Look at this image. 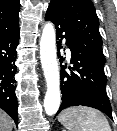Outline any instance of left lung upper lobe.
I'll use <instances>...</instances> for the list:
<instances>
[{
    "instance_id": "5c2ea615",
    "label": "left lung upper lobe",
    "mask_w": 117,
    "mask_h": 131,
    "mask_svg": "<svg viewBox=\"0 0 117 131\" xmlns=\"http://www.w3.org/2000/svg\"><path fill=\"white\" fill-rule=\"evenodd\" d=\"M47 11L60 16L71 30L75 42L98 62L105 64L99 20L91 0H51Z\"/></svg>"
}]
</instances>
